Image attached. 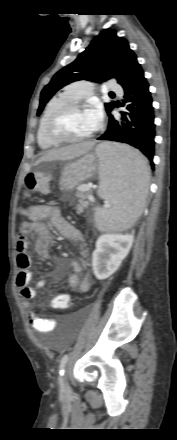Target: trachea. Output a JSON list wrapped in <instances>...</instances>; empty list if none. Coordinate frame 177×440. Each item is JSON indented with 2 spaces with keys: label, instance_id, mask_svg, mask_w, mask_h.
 <instances>
[{
  "label": "trachea",
  "instance_id": "obj_1",
  "mask_svg": "<svg viewBox=\"0 0 177 440\" xmlns=\"http://www.w3.org/2000/svg\"><path fill=\"white\" fill-rule=\"evenodd\" d=\"M110 95H114V93H113V92H111V93H110Z\"/></svg>",
  "mask_w": 177,
  "mask_h": 440
}]
</instances>
